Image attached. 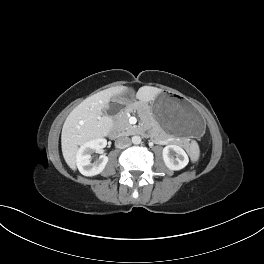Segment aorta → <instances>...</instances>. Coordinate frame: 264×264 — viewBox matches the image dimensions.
Wrapping results in <instances>:
<instances>
[{"label": "aorta", "instance_id": "762f6f07", "mask_svg": "<svg viewBox=\"0 0 264 264\" xmlns=\"http://www.w3.org/2000/svg\"><path fill=\"white\" fill-rule=\"evenodd\" d=\"M132 143L135 144V145H138L141 143V137L138 136V135H135L132 137Z\"/></svg>", "mask_w": 264, "mask_h": 264}]
</instances>
